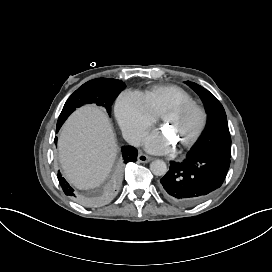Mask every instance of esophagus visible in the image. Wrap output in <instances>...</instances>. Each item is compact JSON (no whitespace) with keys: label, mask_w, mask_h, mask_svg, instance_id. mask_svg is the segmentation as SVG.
I'll return each instance as SVG.
<instances>
[{"label":"esophagus","mask_w":272,"mask_h":272,"mask_svg":"<svg viewBox=\"0 0 272 272\" xmlns=\"http://www.w3.org/2000/svg\"><path fill=\"white\" fill-rule=\"evenodd\" d=\"M137 159L141 163H148L152 160L151 157H149L148 155H145L144 153H139Z\"/></svg>","instance_id":"esophagus-1"}]
</instances>
